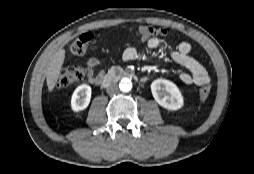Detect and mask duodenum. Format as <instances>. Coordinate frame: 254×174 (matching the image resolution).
Here are the masks:
<instances>
[{
	"label": "duodenum",
	"mask_w": 254,
	"mask_h": 174,
	"mask_svg": "<svg viewBox=\"0 0 254 174\" xmlns=\"http://www.w3.org/2000/svg\"><path fill=\"white\" fill-rule=\"evenodd\" d=\"M132 78H134V74L132 72L121 68H113L100 78L99 84L103 87H107L113 81Z\"/></svg>",
	"instance_id": "obj_1"
}]
</instances>
